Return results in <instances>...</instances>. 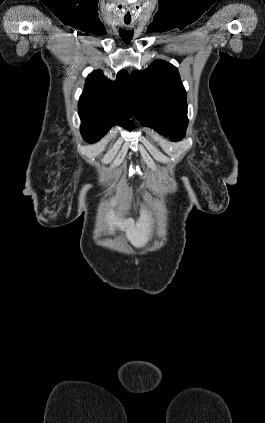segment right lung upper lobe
Wrapping results in <instances>:
<instances>
[{"mask_svg": "<svg viewBox=\"0 0 265 423\" xmlns=\"http://www.w3.org/2000/svg\"><path fill=\"white\" fill-rule=\"evenodd\" d=\"M133 107L129 77L125 70L117 74L115 82L108 80L100 70L91 73L78 104L80 116L107 124L130 121Z\"/></svg>", "mask_w": 265, "mask_h": 423, "instance_id": "obj_1", "label": "right lung upper lobe"}]
</instances>
